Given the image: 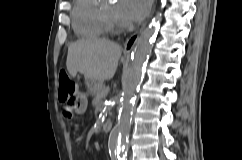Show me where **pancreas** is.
<instances>
[{
    "label": "pancreas",
    "mask_w": 242,
    "mask_h": 160,
    "mask_svg": "<svg viewBox=\"0 0 242 160\" xmlns=\"http://www.w3.org/2000/svg\"><path fill=\"white\" fill-rule=\"evenodd\" d=\"M108 92H109V88L103 87L102 90L95 95L92 101V105L95 108L100 109L102 106V101L107 96Z\"/></svg>",
    "instance_id": "cf45deb5"
}]
</instances>
